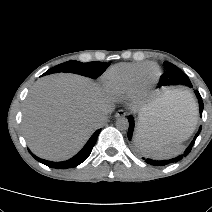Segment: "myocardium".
I'll return each mask as SVG.
<instances>
[{
	"instance_id": "obj_1",
	"label": "myocardium",
	"mask_w": 212,
	"mask_h": 212,
	"mask_svg": "<svg viewBox=\"0 0 212 212\" xmlns=\"http://www.w3.org/2000/svg\"><path fill=\"white\" fill-rule=\"evenodd\" d=\"M156 75H157V77H159V69H158V72H157V74H156Z\"/></svg>"
}]
</instances>
